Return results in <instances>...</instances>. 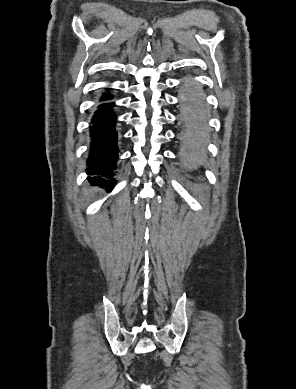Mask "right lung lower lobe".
<instances>
[{
    "instance_id": "right-lung-lower-lobe-1",
    "label": "right lung lower lobe",
    "mask_w": 296,
    "mask_h": 389,
    "mask_svg": "<svg viewBox=\"0 0 296 389\" xmlns=\"http://www.w3.org/2000/svg\"><path fill=\"white\" fill-rule=\"evenodd\" d=\"M112 99L110 94L103 95L100 101ZM114 103L104 102L95 110L90 122V150L87 159V173L90 182L102 186H114L115 170L118 159L117 114ZM112 190V187H106Z\"/></svg>"
}]
</instances>
